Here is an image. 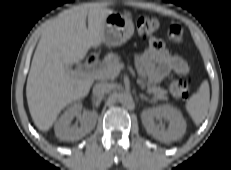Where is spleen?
I'll list each match as a JSON object with an SVG mask.
<instances>
[{
    "mask_svg": "<svg viewBox=\"0 0 231 170\" xmlns=\"http://www.w3.org/2000/svg\"><path fill=\"white\" fill-rule=\"evenodd\" d=\"M210 101L208 81H203L199 90L186 103L185 108L196 125L205 119Z\"/></svg>",
    "mask_w": 231,
    "mask_h": 170,
    "instance_id": "3e777b00",
    "label": "spleen"
}]
</instances>
